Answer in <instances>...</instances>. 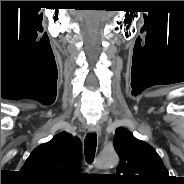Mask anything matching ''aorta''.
<instances>
[{
	"label": "aorta",
	"instance_id": "obj_1",
	"mask_svg": "<svg viewBox=\"0 0 184 184\" xmlns=\"http://www.w3.org/2000/svg\"><path fill=\"white\" fill-rule=\"evenodd\" d=\"M118 162L119 158L115 151H104L99 155L96 166L98 168H110L116 166Z\"/></svg>",
	"mask_w": 184,
	"mask_h": 184
}]
</instances>
